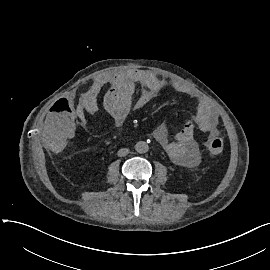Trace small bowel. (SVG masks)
<instances>
[{
    "mask_svg": "<svg viewBox=\"0 0 270 270\" xmlns=\"http://www.w3.org/2000/svg\"><path fill=\"white\" fill-rule=\"evenodd\" d=\"M136 85L141 86V92L134 98ZM105 86H109V89L104 106L116 129L123 127L132 110L144 107L159 91L170 89L195 98L198 102L195 117L187 121L174 138L169 137L165 124L159 125L153 136L175 163L188 167L200 164L201 154L195 133L217 134L215 113L195 91L144 69H126L100 75L80 98L74 93H62L41 121L40 139L51 151L68 148L79 139L77 124L83 128L89 127L90 118L98 115L96 99Z\"/></svg>",
    "mask_w": 270,
    "mask_h": 270,
    "instance_id": "small-bowel-1",
    "label": "small bowel"
}]
</instances>
